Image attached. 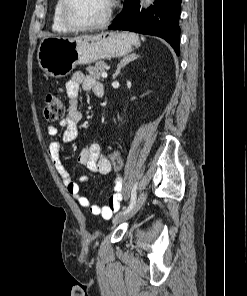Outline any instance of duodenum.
I'll return each mask as SVG.
<instances>
[{"label":"duodenum","instance_id":"1","mask_svg":"<svg viewBox=\"0 0 247 296\" xmlns=\"http://www.w3.org/2000/svg\"><path fill=\"white\" fill-rule=\"evenodd\" d=\"M97 95H98L100 98H103V97H104L103 88H101V89L97 92Z\"/></svg>","mask_w":247,"mask_h":296}]
</instances>
